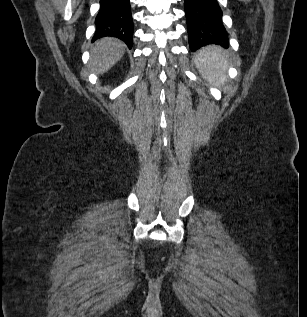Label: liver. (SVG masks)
I'll use <instances>...</instances> for the list:
<instances>
[{
    "label": "liver",
    "mask_w": 307,
    "mask_h": 317,
    "mask_svg": "<svg viewBox=\"0 0 307 317\" xmlns=\"http://www.w3.org/2000/svg\"><path fill=\"white\" fill-rule=\"evenodd\" d=\"M126 45L119 39L105 37L91 48L90 69L96 74L109 71L124 55Z\"/></svg>",
    "instance_id": "obj_1"
}]
</instances>
